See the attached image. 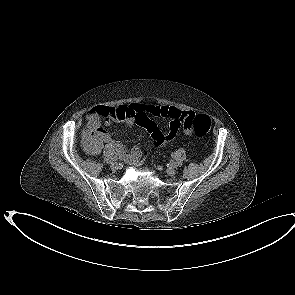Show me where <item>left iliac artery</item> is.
<instances>
[{"label": "left iliac artery", "mask_w": 295, "mask_h": 295, "mask_svg": "<svg viewBox=\"0 0 295 295\" xmlns=\"http://www.w3.org/2000/svg\"><path fill=\"white\" fill-rule=\"evenodd\" d=\"M169 165H170V166H173V167H177V166H178L177 163H175V162H170Z\"/></svg>", "instance_id": "44dca946"}]
</instances>
